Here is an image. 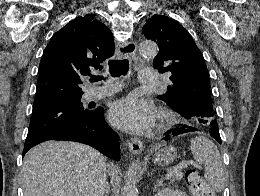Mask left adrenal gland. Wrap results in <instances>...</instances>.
Here are the masks:
<instances>
[{
  "instance_id": "left-adrenal-gland-1",
  "label": "left adrenal gland",
  "mask_w": 260,
  "mask_h": 196,
  "mask_svg": "<svg viewBox=\"0 0 260 196\" xmlns=\"http://www.w3.org/2000/svg\"><path fill=\"white\" fill-rule=\"evenodd\" d=\"M159 186H163V180H158L153 192H156V190H158Z\"/></svg>"
}]
</instances>
